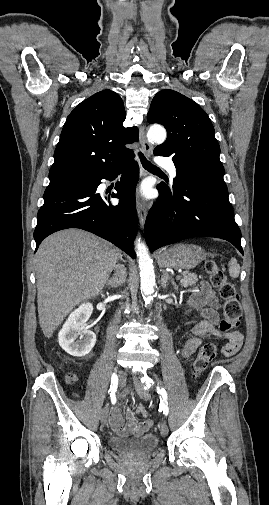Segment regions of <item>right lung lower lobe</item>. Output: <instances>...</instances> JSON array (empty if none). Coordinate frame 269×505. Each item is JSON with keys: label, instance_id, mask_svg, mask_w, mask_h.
<instances>
[{"label": "right lung lower lobe", "instance_id": "right-lung-lower-lobe-1", "mask_svg": "<svg viewBox=\"0 0 269 505\" xmlns=\"http://www.w3.org/2000/svg\"><path fill=\"white\" fill-rule=\"evenodd\" d=\"M138 169L137 162L129 157L79 183L46 189L34 231L36 250L48 235L62 229L80 228L112 242L136 258L132 244L137 231L135 186ZM121 171L123 175L115 187L117 194L105 198L96 193L102 179L113 180ZM110 197L121 200L114 206Z\"/></svg>", "mask_w": 269, "mask_h": 505}]
</instances>
